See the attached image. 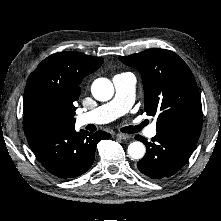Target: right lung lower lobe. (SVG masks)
Returning <instances> with one entry per match:
<instances>
[{
    "instance_id": "obj_1",
    "label": "right lung lower lobe",
    "mask_w": 221,
    "mask_h": 221,
    "mask_svg": "<svg viewBox=\"0 0 221 221\" xmlns=\"http://www.w3.org/2000/svg\"><path fill=\"white\" fill-rule=\"evenodd\" d=\"M28 144L41 164L60 178L85 173L94 161L97 143L110 137L104 131L76 132L74 127L34 125L24 129Z\"/></svg>"
}]
</instances>
